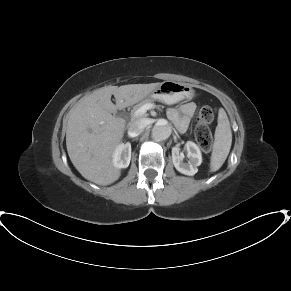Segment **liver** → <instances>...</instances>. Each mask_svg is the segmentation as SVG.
<instances>
[{
	"label": "liver",
	"instance_id": "1",
	"mask_svg": "<svg viewBox=\"0 0 291 291\" xmlns=\"http://www.w3.org/2000/svg\"><path fill=\"white\" fill-rule=\"evenodd\" d=\"M160 83L105 86L81 98L70 110L66 146L71 162L87 180L110 185L121 172L113 164V153L122 142L126 121L115 117L118 108L147 97ZM114 95L116 105L112 103Z\"/></svg>",
	"mask_w": 291,
	"mask_h": 291
}]
</instances>
